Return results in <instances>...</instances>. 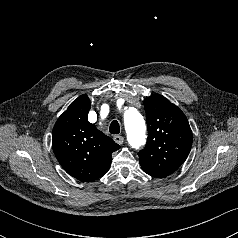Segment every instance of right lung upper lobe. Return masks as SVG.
<instances>
[{"label": "right lung upper lobe", "instance_id": "cb5924a9", "mask_svg": "<svg viewBox=\"0 0 238 238\" xmlns=\"http://www.w3.org/2000/svg\"><path fill=\"white\" fill-rule=\"evenodd\" d=\"M91 104L87 95L74 100L58 118L52 131L54 154L71 176L94 181L108 172L112 156L120 146L88 121Z\"/></svg>", "mask_w": 238, "mask_h": 238}]
</instances>
